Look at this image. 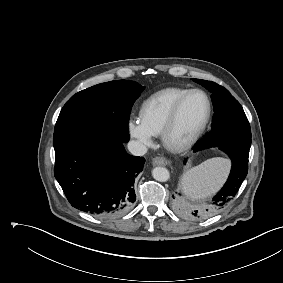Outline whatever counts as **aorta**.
I'll use <instances>...</instances> for the list:
<instances>
[{"mask_svg": "<svg viewBox=\"0 0 283 283\" xmlns=\"http://www.w3.org/2000/svg\"><path fill=\"white\" fill-rule=\"evenodd\" d=\"M152 176L159 182H166L169 179L170 174L165 167H155L152 170Z\"/></svg>", "mask_w": 283, "mask_h": 283, "instance_id": "obj_1", "label": "aorta"}]
</instances>
